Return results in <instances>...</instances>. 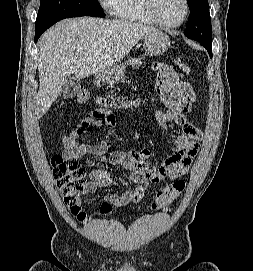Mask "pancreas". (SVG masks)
<instances>
[{
    "label": "pancreas",
    "mask_w": 253,
    "mask_h": 271,
    "mask_svg": "<svg viewBox=\"0 0 253 271\" xmlns=\"http://www.w3.org/2000/svg\"><path fill=\"white\" fill-rule=\"evenodd\" d=\"M126 65L127 66H132V67H138V66H141L142 65V62H141V58H133L131 60H128L124 63V65L122 66L123 70L126 68Z\"/></svg>",
    "instance_id": "cf45deb5"
}]
</instances>
